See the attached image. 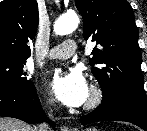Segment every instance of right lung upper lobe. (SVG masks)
I'll return each mask as SVG.
<instances>
[{"instance_id": "obj_1", "label": "right lung upper lobe", "mask_w": 147, "mask_h": 131, "mask_svg": "<svg viewBox=\"0 0 147 131\" xmlns=\"http://www.w3.org/2000/svg\"><path fill=\"white\" fill-rule=\"evenodd\" d=\"M38 24L36 0H4L0 3V57L27 59L28 43Z\"/></svg>"}]
</instances>
